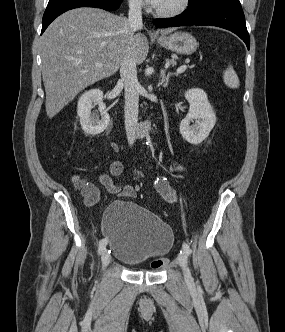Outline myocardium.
I'll return each mask as SVG.
<instances>
[{"mask_svg": "<svg viewBox=\"0 0 285 332\" xmlns=\"http://www.w3.org/2000/svg\"><path fill=\"white\" fill-rule=\"evenodd\" d=\"M190 2H191V0H181L180 4L176 8L171 9V10H160L157 8V9H155V14L158 17H162V18L177 17L188 9Z\"/></svg>", "mask_w": 285, "mask_h": 332, "instance_id": "1", "label": "myocardium"}]
</instances>
